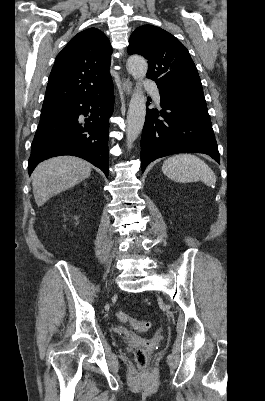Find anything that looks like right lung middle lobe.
I'll list each match as a JSON object with an SVG mask.
<instances>
[{
  "mask_svg": "<svg viewBox=\"0 0 265 401\" xmlns=\"http://www.w3.org/2000/svg\"><path fill=\"white\" fill-rule=\"evenodd\" d=\"M64 104H58V105H52V106H48V107H42V110L41 111H43V110H45V109H48V108H54V107H60V106H63Z\"/></svg>",
  "mask_w": 265,
  "mask_h": 401,
  "instance_id": "1",
  "label": "right lung middle lobe"
}]
</instances>
